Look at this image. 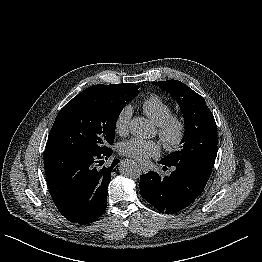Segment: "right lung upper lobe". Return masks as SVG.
<instances>
[{"label":"right lung upper lobe","mask_w":262,"mask_h":262,"mask_svg":"<svg viewBox=\"0 0 262 262\" xmlns=\"http://www.w3.org/2000/svg\"><path fill=\"white\" fill-rule=\"evenodd\" d=\"M127 84H113V85H98L109 91H118L126 87Z\"/></svg>","instance_id":"obj_1"}]
</instances>
